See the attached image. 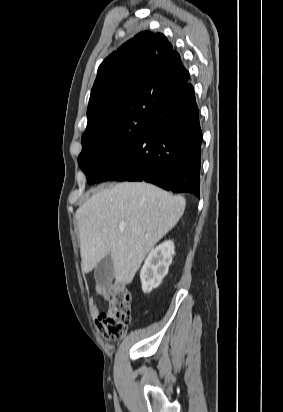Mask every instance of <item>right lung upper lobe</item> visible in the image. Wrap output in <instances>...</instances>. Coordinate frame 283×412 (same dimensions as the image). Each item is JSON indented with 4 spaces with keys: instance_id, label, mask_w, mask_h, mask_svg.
Masks as SVG:
<instances>
[{
    "instance_id": "1",
    "label": "right lung upper lobe",
    "mask_w": 283,
    "mask_h": 412,
    "mask_svg": "<svg viewBox=\"0 0 283 412\" xmlns=\"http://www.w3.org/2000/svg\"><path fill=\"white\" fill-rule=\"evenodd\" d=\"M189 77L179 54L163 34L150 31L137 34L99 66L84 134L135 104L151 101L164 104L188 83Z\"/></svg>"
}]
</instances>
